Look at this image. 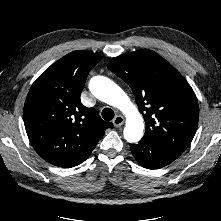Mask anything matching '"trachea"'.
I'll return each instance as SVG.
<instances>
[{
  "instance_id": "trachea-1",
  "label": "trachea",
  "mask_w": 221,
  "mask_h": 221,
  "mask_svg": "<svg viewBox=\"0 0 221 221\" xmlns=\"http://www.w3.org/2000/svg\"><path fill=\"white\" fill-rule=\"evenodd\" d=\"M102 117L104 120H112L114 118V111L111 108H104L102 110Z\"/></svg>"
}]
</instances>
